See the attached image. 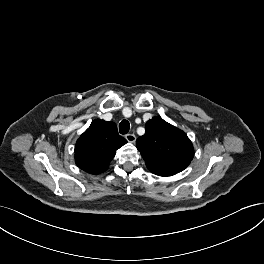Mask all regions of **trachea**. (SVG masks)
<instances>
[{
  "label": "trachea",
  "mask_w": 264,
  "mask_h": 264,
  "mask_svg": "<svg viewBox=\"0 0 264 264\" xmlns=\"http://www.w3.org/2000/svg\"><path fill=\"white\" fill-rule=\"evenodd\" d=\"M130 129V124L127 120H122L121 123L119 124V132L121 134H127Z\"/></svg>",
  "instance_id": "1"
}]
</instances>
